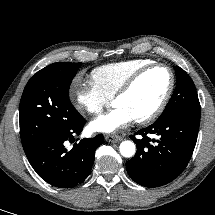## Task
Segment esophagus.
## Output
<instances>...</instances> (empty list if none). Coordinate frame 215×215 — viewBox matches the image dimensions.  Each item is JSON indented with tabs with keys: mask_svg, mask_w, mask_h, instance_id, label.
Masks as SVG:
<instances>
[{
	"mask_svg": "<svg viewBox=\"0 0 215 215\" xmlns=\"http://www.w3.org/2000/svg\"><path fill=\"white\" fill-rule=\"evenodd\" d=\"M105 140L108 142L116 143V142H120L122 140V137L117 135H107L105 136Z\"/></svg>",
	"mask_w": 215,
	"mask_h": 215,
	"instance_id": "esophagus-1",
	"label": "esophagus"
}]
</instances>
